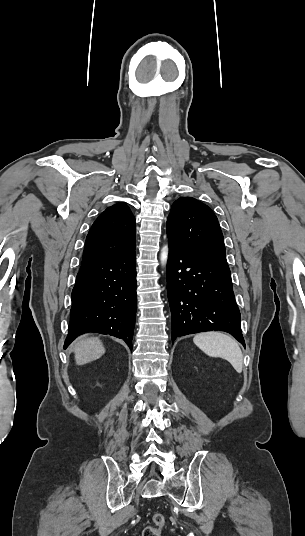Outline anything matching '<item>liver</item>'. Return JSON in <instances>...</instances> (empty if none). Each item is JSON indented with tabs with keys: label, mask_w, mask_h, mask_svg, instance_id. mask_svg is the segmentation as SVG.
Wrapping results in <instances>:
<instances>
[{
	"label": "liver",
	"mask_w": 305,
	"mask_h": 536,
	"mask_svg": "<svg viewBox=\"0 0 305 536\" xmlns=\"http://www.w3.org/2000/svg\"><path fill=\"white\" fill-rule=\"evenodd\" d=\"M75 362L77 366L89 364L105 354V348L99 338H86L74 346Z\"/></svg>",
	"instance_id": "1"
}]
</instances>
